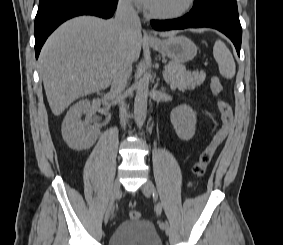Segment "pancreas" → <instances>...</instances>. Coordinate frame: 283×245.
Wrapping results in <instances>:
<instances>
[{
  "label": "pancreas",
  "instance_id": "1",
  "mask_svg": "<svg viewBox=\"0 0 283 245\" xmlns=\"http://www.w3.org/2000/svg\"><path fill=\"white\" fill-rule=\"evenodd\" d=\"M164 78L172 88L184 91L193 90L200 86L204 82L206 74L204 71H187L184 65L171 61L165 66Z\"/></svg>",
  "mask_w": 283,
  "mask_h": 245
}]
</instances>
